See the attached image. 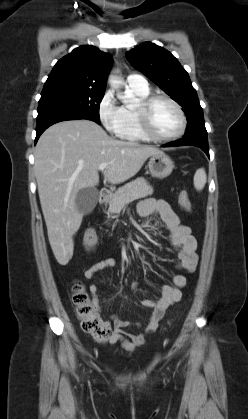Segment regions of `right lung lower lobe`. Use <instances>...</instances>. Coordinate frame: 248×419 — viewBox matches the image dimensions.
Listing matches in <instances>:
<instances>
[{
  "label": "right lung lower lobe",
  "instance_id": "obj_1",
  "mask_svg": "<svg viewBox=\"0 0 248 419\" xmlns=\"http://www.w3.org/2000/svg\"><path fill=\"white\" fill-rule=\"evenodd\" d=\"M76 119H87V120L94 121L88 115L81 112H76V111H61V112H52V113H47L43 115H38L37 126H36L37 134H36L35 143L39 139L40 135L52 124H55L60 121L76 120Z\"/></svg>",
  "mask_w": 248,
  "mask_h": 419
}]
</instances>
